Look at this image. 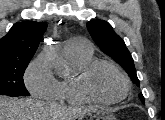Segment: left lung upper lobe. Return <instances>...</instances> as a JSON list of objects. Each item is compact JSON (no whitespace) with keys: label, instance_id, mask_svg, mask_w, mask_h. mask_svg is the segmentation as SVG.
I'll return each mask as SVG.
<instances>
[{"label":"left lung upper lobe","instance_id":"1","mask_svg":"<svg viewBox=\"0 0 165 120\" xmlns=\"http://www.w3.org/2000/svg\"><path fill=\"white\" fill-rule=\"evenodd\" d=\"M87 29L101 51L121 65L132 82L139 86L133 58L124 41L114 32L112 26L105 20H91L87 22ZM139 98L144 103L142 93L139 94Z\"/></svg>","mask_w":165,"mask_h":120}]
</instances>
